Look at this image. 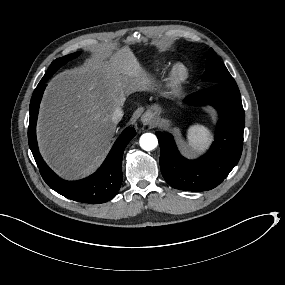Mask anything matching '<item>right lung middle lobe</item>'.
I'll return each instance as SVG.
<instances>
[{
    "instance_id": "right-lung-middle-lobe-1",
    "label": "right lung middle lobe",
    "mask_w": 285,
    "mask_h": 285,
    "mask_svg": "<svg viewBox=\"0 0 285 285\" xmlns=\"http://www.w3.org/2000/svg\"><path fill=\"white\" fill-rule=\"evenodd\" d=\"M79 54L80 53L77 52V53L69 54L64 57L54 60L52 64L50 65V67L48 68V71L46 72V74L41 79L40 83H45L46 81H48V79L51 78V76L57 71V69L60 66L66 64L69 60L77 57Z\"/></svg>"
}]
</instances>
